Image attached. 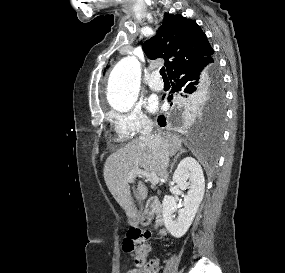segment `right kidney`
<instances>
[{
	"mask_svg": "<svg viewBox=\"0 0 285 273\" xmlns=\"http://www.w3.org/2000/svg\"><path fill=\"white\" fill-rule=\"evenodd\" d=\"M173 181L181 190L188 189L184 208L177 210V200L170 195L163 199V221L165 227L175 238H181L191 226L203 199L205 178L199 163L192 157L184 158L177 166ZM178 212L175 219L174 212Z\"/></svg>",
	"mask_w": 285,
	"mask_h": 273,
	"instance_id": "obj_1",
	"label": "right kidney"
}]
</instances>
